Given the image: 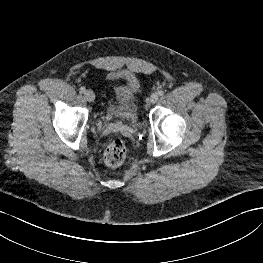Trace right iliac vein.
<instances>
[{
    "instance_id": "obj_1",
    "label": "right iliac vein",
    "mask_w": 263,
    "mask_h": 263,
    "mask_svg": "<svg viewBox=\"0 0 263 263\" xmlns=\"http://www.w3.org/2000/svg\"><path fill=\"white\" fill-rule=\"evenodd\" d=\"M84 96L88 102H93L95 100V94L92 90H86Z\"/></svg>"
}]
</instances>
